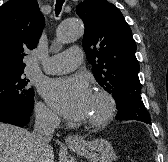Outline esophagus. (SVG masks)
Masks as SVG:
<instances>
[{"instance_id": "obj_1", "label": "esophagus", "mask_w": 168, "mask_h": 162, "mask_svg": "<svg viewBox=\"0 0 168 162\" xmlns=\"http://www.w3.org/2000/svg\"><path fill=\"white\" fill-rule=\"evenodd\" d=\"M65 142L68 145H77V144H80L82 142V140H81V138H79L77 136L69 135L66 137Z\"/></svg>"}]
</instances>
